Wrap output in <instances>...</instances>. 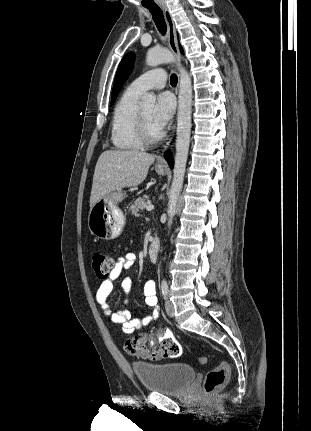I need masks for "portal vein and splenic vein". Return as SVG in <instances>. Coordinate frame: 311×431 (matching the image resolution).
<instances>
[{"label": "portal vein and splenic vein", "instance_id": "obj_1", "mask_svg": "<svg viewBox=\"0 0 311 431\" xmlns=\"http://www.w3.org/2000/svg\"><path fill=\"white\" fill-rule=\"evenodd\" d=\"M147 212H151V210H154V206L152 204H149V206H146Z\"/></svg>", "mask_w": 311, "mask_h": 431}]
</instances>
